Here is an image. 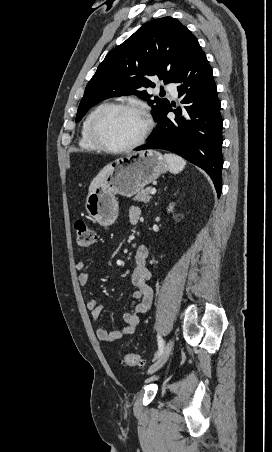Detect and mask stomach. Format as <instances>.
Listing matches in <instances>:
<instances>
[{"instance_id": "1", "label": "stomach", "mask_w": 272, "mask_h": 452, "mask_svg": "<svg viewBox=\"0 0 272 452\" xmlns=\"http://www.w3.org/2000/svg\"><path fill=\"white\" fill-rule=\"evenodd\" d=\"M167 162L155 150L133 152L110 164L103 182L86 198L89 216L101 226L112 225L119 205L116 194L131 197L167 171Z\"/></svg>"}]
</instances>
